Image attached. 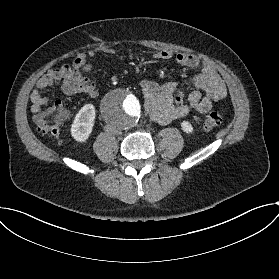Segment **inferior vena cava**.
<instances>
[{"label": "inferior vena cava", "instance_id": "obj_1", "mask_svg": "<svg viewBox=\"0 0 279 279\" xmlns=\"http://www.w3.org/2000/svg\"><path fill=\"white\" fill-rule=\"evenodd\" d=\"M120 132H121V131L116 130L114 133H115V134H120Z\"/></svg>", "mask_w": 279, "mask_h": 279}]
</instances>
